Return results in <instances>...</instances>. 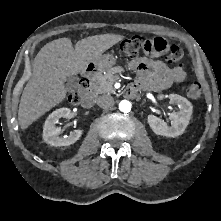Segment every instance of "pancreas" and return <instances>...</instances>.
<instances>
[{
  "mask_svg": "<svg viewBox=\"0 0 221 221\" xmlns=\"http://www.w3.org/2000/svg\"><path fill=\"white\" fill-rule=\"evenodd\" d=\"M123 68L120 66L109 68L105 74H99L95 82L92 84L91 89L95 95L102 93H114V82L119 78L117 73H121Z\"/></svg>",
  "mask_w": 221,
  "mask_h": 221,
  "instance_id": "cf45deb5",
  "label": "pancreas"
}]
</instances>
